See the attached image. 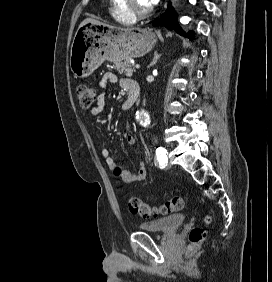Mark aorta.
Segmentation results:
<instances>
[{
    "label": "aorta",
    "mask_w": 272,
    "mask_h": 282,
    "mask_svg": "<svg viewBox=\"0 0 272 282\" xmlns=\"http://www.w3.org/2000/svg\"><path fill=\"white\" fill-rule=\"evenodd\" d=\"M136 120L141 124L144 125L146 124L148 120V112L144 108H140L136 111Z\"/></svg>",
    "instance_id": "obj_1"
}]
</instances>
